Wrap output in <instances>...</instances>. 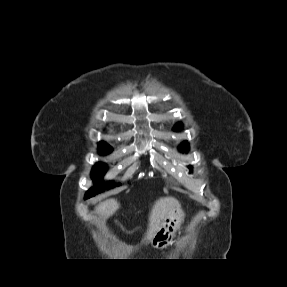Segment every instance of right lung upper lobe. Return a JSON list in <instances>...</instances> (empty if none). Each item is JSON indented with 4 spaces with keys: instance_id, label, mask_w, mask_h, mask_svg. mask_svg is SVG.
I'll return each mask as SVG.
<instances>
[{
    "instance_id": "right-lung-upper-lobe-1",
    "label": "right lung upper lobe",
    "mask_w": 287,
    "mask_h": 287,
    "mask_svg": "<svg viewBox=\"0 0 287 287\" xmlns=\"http://www.w3.org/2000/svg\"><path fill=\"white\" fill-rule=\"evenodd\" d=\"M100 144H106V143H104V142H101Z\"/></svg>"
}]
</instances>
